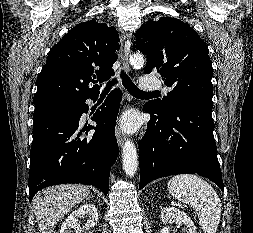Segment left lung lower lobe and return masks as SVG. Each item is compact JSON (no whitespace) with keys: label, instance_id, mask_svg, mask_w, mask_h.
<instances>
[{"label":"left lung lower lobe","instance_id":"0a47b994","mask_svg":"<svg viewBox=\"0 0 253 233\" xmlns=\"http://www.w3.org/2000/svg\"><path fill=\"white\" fill-rule=\"evenodd\" d=\"M212 106L191 102L161 115L151 103L144 105L151 119L139 145V190L157 178L196 173L212 180L223 191Z\"/></svg>","mask_w":253,"mask_h":233}]
</instances>
